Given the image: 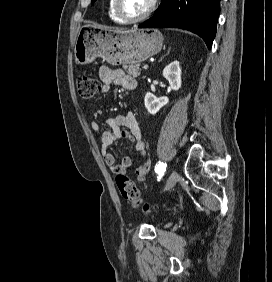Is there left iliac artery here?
Masks as SVG:
<instances>
[{"instance_id":"obj_1","label":"left iliac artery","mask_w":272,"mask_h":282,"mask_svg":"<svg viewBox=\"0 0 272 282\" xmlns=\"http://www.w3.org/2000/svg\"><path fill=\"white\" fill-rule=\"evenodd\" d=\"M155 170L158 173V181H159L166 171V163L159 162L155 167Z\"/></svg>"}]
</instances>
